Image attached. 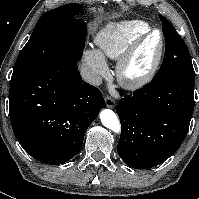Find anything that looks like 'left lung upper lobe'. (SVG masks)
<instances>
[{"label":"left lung upper lobe","instance_id":"1","mask_svg":"<svg viewBox=\"0 0 199 199\" xmlns=\"http://www.w3.org/2000/svg\"><path fill=\"white\" fill-rule=\"evenodd\" d=\"M162 21L163 34L165 37V55L161 68L152 81L172 76L195 77L189 50L177 33L174 26L162 15H159Z\"/></svg>","mask_w":199,"mask_h":199}]
</instances>
